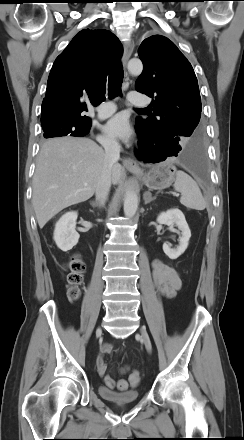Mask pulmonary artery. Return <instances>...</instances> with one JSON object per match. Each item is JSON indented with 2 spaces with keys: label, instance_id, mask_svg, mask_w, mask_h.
<instances>
[{
  "label": "pulmonary artery",
  "instance_id": "obj_1",
  "mask_svg": "<svg viewBox=\"0 0 244 440\" xmlns=\"http://www.w3.org/2000/svg\"><path fill=\"white\" fill-rule=\"evenodd\" d=\"M128 99L129 101L134 104V105H138V106H145L147 104V99L146 97L136 91H132L129 93L128 95ZM98 114L101 118H105L110 116L111 114H113L116 110V106L113 102L107 101V102H103L98 108Z\"/></svg>",
  "mask_w": 244,
  "mask_h": 440
}]
</instances>
